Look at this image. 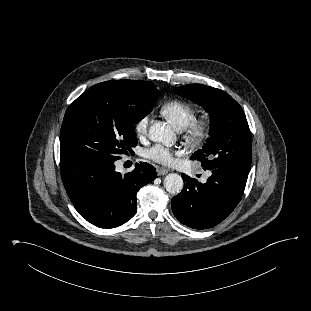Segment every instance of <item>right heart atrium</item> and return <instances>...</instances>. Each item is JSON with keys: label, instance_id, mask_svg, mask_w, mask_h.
<instances>
[{"label": "right heart atrium", "instance_id": "d8ad5b80", "mask_svg": "<svg viewBox=\"0 0 311 311\" xmlns=\"http://www.w3.org/2000/svg\"><path fill=\"white\" fill-rule=\"evenodd\" d=\"M149 118L144 115L136 120L134 123V130L137 136L141 137L147 133Z\"/></svg>", "mask_w": 311, "mask_h": 311}]
</instances>
